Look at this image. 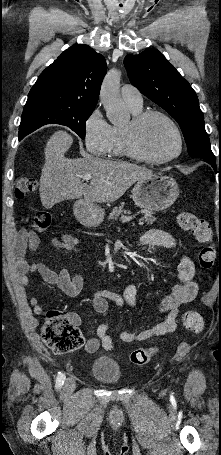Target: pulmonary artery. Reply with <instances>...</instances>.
I'll return each instance as SVG.
<instances>
[{
    "mask_svg": "<svg viewBox=\"0 0 221 455\" xmlns=\"http://www.w3.org/2000/svg\"><path fill=\"white\" fill-rule=\"evenodd\" d=\"M122 99L130 106L139 108L142 107L143 98L140 91L133 85L125 84L121 88Z\"/></svg>",
    "mask_w": 221,
    "mask_h": 455,
    "instance_id": "obj_1",
    "label": "pulmonary artery"
}]
</instances>
